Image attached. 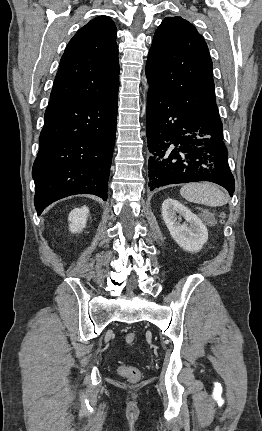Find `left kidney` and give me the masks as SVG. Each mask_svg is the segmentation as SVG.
<instances>
[{
	"mask_svg": "<svg viewBox=\"0 0 262 431\" xmlns=\"http://www.w3.org/2000/svg\"><path fill=\"white\" fill-rule=\"evenodd\" d=\"M162 217L175 242L188 252H197L208 240V231L202 220L188 208L173 199L162 204ZM182 217L185 223L181 224Z\"/></svg>",
	"mask_w": 262,
	"mask_h": 431,
	"instance_id": "5707ae66",
	"label": "left kidney"
}]
</instances>
